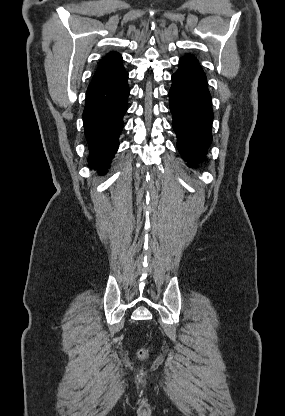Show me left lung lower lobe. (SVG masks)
Segmentation results:
<instances>
[{"mask_svg":"<svg viewBox=\"0 0 285 416\" xmlns=\"http://www.w3.org/2000/svg\"><path fill=\"white\" fill-rule=\"evenodd\" d=\"M169 91L177 148L189 167L203 160L212 141L213 111L206 76L194 56L179 60Z\"/></svg>","mask_w":285,"mask_h":416,"instance_id":"left-lung-lower-lobe-1","label":"left lung lower lobe"}]
</instances>
